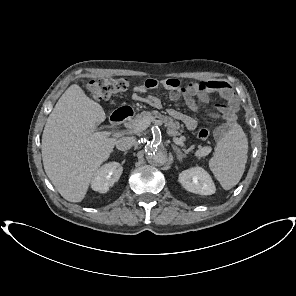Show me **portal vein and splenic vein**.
I'll list each match as a JSON object with an SVG mask.
<instances>
[{
    "instance_id": "obj_1",
    "label": "portal vein and splenic vein",
    "mask_w": 296,
    "mask_h": 296,
    "mask_svg": "<svg viewBox=\"0 0 296 296\" xmlns=\"http://www.w3.org/2000/svg\"><path fill=\"white\" fill-rule=\"evenodd\" d=\"M152 118L150 117H145L143 118L142 120H140V122L138 123L137 127L134 129V131L136 133L138 132H141L145 129H147L149 127V125L151 124L152 122ZM121 132L120 131H101V132H96L93 134V136L97 137V136H109V135H113V134H120ZM184 140L181 139V138H173V142L181 147H184L185 144L183 142ZM210 152V148L209 147H205L203 148L202 150V154L203 155H207L208 153Z\"/></svg>"
}]
</instances>
